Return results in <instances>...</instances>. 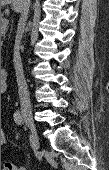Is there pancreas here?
<instances>
[{"instance_id": "cf45deb5", "label": "pancreas", "mask_w": 109, "mask_h": 170, "mask_svg": "<svg viewBox=\"0 0 109 170\" xmlns=\"http://www.w3.org/2000/svg\"><path fill=\"white\" fill-rule=\"evenodd\" d=\"M2 16H3V14H1V19H2ZM2 36H3V37L5 36V30H3Z\"/></svg>"}]
</instances>
